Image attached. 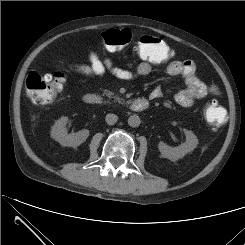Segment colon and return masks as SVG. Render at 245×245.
Here are the masks:
<instances>
[{
	"label": "colon",
	"mask_w": 245,
	"mask_h": 245,
	"mask_svg": "<svg viewBox=\"0 0 245 245\" xmlns=\"http://www.w3.org/2000/svg\"><path fill=\"white\" fill-rule=\"evenodd\" d=\"M106 47L119 50L129 46L134 36L128 29H110L102 35ZM138 56L149 63L160 64L171 59L167 44L154 36L142 35L136 39ZM64 77L60 73L40 74L30 70L26 75V88L29 98L36 104H51L62 90ZM204 118L209 129L215 131L226 121L227 113L223 105L216 100L208 101L204 106Z\"/></svg>",
	"instance_id": "1"
}]
</instances>
